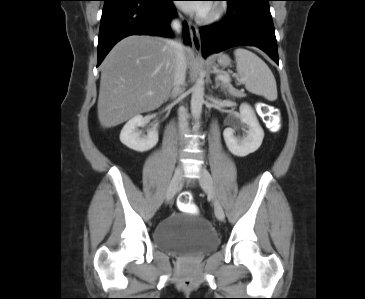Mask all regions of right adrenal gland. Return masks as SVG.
<instances>
[{
    "label": "right adrenal gland",
    "mask_w": 365,
    "mask_h": 299,
    "mask_svg": "<svg viewBox=\"0 0 365 299\" xmlns=\"http://www.w3.org/2000/svg\"><path fill=\"white\" fill-rule=\"evenodd\" d=\"M170 98H172L173 96L172 95H169Z\"/></svg>",
    "instance_id": "obj_1"
}]
</instances>
